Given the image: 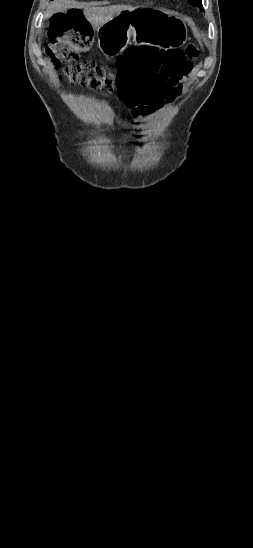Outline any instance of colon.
<instances>
[{
    "label": "colon",
    "instance_id": "5ec220e1",
    "mask_svg": "<svg viewBox=\"0 0 253 548\" xmlns=\"http://www.w3.org/2000/svg\"><path fill=\"white\" fill-rule=\"evenodd\" d=\"M54 38L46 53L56 67L62 63L63 76L72 83H78L104 93L120 91L121 99L133 105L131 111L135 120L145 115L154 120L158 107L168 105L172 99H180L187 74L192 69L191 61L199 56L198 48L189 44L184 50L157 51L149 46L129 48L117 61L116 70L89 60H81L79 52L89 47L92 30L80 10L56 13L52 17ZM160 60H154V59ZM170 96V97H169ZM143 135V132H139ZM140 152L149 147L136 144Z\"/></svg>",
    "mask_w": 253,
    "mask_h": 548
}]
</instances>
